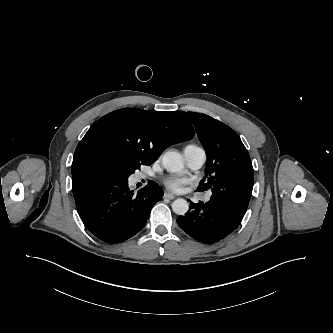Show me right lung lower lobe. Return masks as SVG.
Returning <instances> with one entry per match:
<instances>
[{
  "mask_svg": "<svg viewBox=\"0 0 333 333\" xmlns=\"http://www.w3.org/2000/svg\"><path fill=\"white\" fill-rule=\"evenodd\" d=\"M127 182L92 169L72 175V191L82 222L107 243H119L138 233L163 195L157 184L146 186L134 195Z\"/></svg>",
  "mask_w": 333,
  "mask_h": 333,
  "instance_id": "obj_1",
  "label": "right lung lower lobe"
}]
</instances>
